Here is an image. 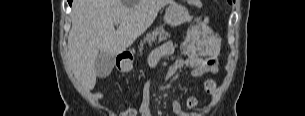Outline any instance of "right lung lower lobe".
I'll use <instances>...</instances> for the list:
<instances>
[{"label":"right lung lower lobe","instance_id":"obj_1","mask_svg":"<svg viewBox=\"0 0 305 116\" xmlns=\"http://www.w3.org/2000/svg\"><path fill=\"white\" fill-rule=\"evenodd\" d=\"M69 4L71 5L72 0H68Z\"/></svg>","mask_w":305,"mask_h":116}]
</instances>
